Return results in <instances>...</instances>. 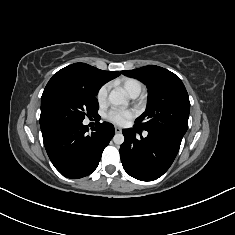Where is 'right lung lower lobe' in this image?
Segmentation results:
<instances>
[{
	"label": "right lung lower lobe",
	"mask_w": 235,
	"mask_h": 235,
	"mask_svg": "<svg viewBox=\"0 0 235 235\" xmlns=\"http://www.w3.org/2000/svg\"><path fill=\"white\" fill-rule=\"evenodd\" d=\"M40 125L51 162L62 175L71 179L91 174L114 136V127L107 122H98L89 134L88 127L82 122H48Z\"/></svg>",
	"instance_id": "right-lung-lower-lobe-1"
}]
</instances>
